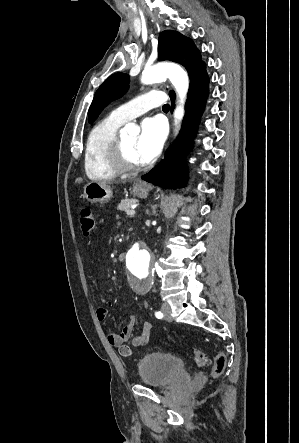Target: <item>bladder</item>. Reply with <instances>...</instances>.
Segmentation results:
<instances>
[{
    "mask_svg": "<svg viewBox=\"0 0 299 443\" xmlns=\"http://www.w3.org/2000/svg\"><path fill=\"white\" fill-rule=\"evenodd\" d=\"M137 371L140 381L151 388H164L189 378L183 361L175 355L166 353L145 355L139 360Z\"/></svg>",
    "mask_w": 299,
    "mask_h": 443,
    "instance_id": "obj_1",
    "label": "bladder"
}]
</instances>
